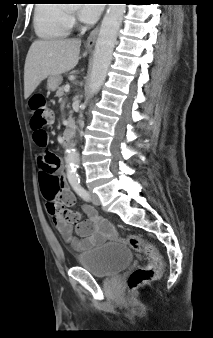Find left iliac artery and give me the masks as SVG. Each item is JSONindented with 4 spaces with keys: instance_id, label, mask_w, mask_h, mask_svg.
Returning <instances> with one entry per match:
<instances>
[{
    "instance_id": "left-iliac-artery-1",
    "label": "left iliac artery",
    "mask_w": 213,
    "mask_h": 338,
    "mask_svg": "<svg viewBox=\"0 0 213 338\" xmlns=\"http://www.w3.org/2000/svg\"><path fill=\"white\" fill-rule=\"evenodd\" d=\"M74 191L85 201H89L90 197L88 192L81 186V184L77 183L72 186Z\"/></svg>"
}]
</instances>
